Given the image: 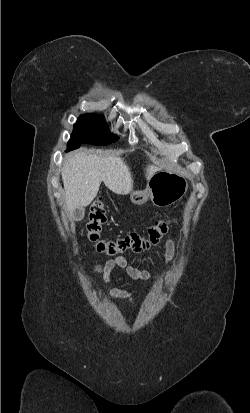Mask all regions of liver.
<instances>
[{
  "label": "liver",
  "instance_id": "liver-1",
  "mask_svg": "<svg viewBox=\"0 0 250 413\" xmlns=\"http://www.w3.org/2000/svg\"><path fill=\"white\" fill-rule=\"evenodd\" d=\"M160 170L157 166L148 165L147 180ZM61 174L65 202L70 214L75 209L88 206L94 200L101 182L119 195L127 194L133 189L130 169L119 156L100 157L80 150L67 156Z\"/></svg>",
  "mask_w": 250,
  "mask_h": 413
}]
</instances>
